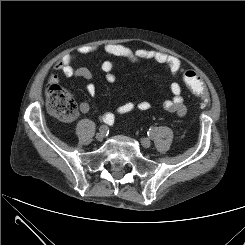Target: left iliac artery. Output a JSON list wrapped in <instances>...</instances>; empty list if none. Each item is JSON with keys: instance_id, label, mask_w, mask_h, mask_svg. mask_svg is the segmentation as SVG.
Returning a JSON list of instances; mask_svg holds the SVG:
<instances>
[{"instance_id": "44dca946", "label": "left iliac artery", "mask_w": 245, "mask_h": 245, "mask_svg": "<svg viewBox=\"0 0 245 245\" xmlns=\"http://www.w3.org/2000/svg\"><path fill=\"white\" fill-rule=\"evenodd\" d=\"M155 132H156V130L155 129H149V131H148V136H150L151 138L152 137H154V135H155Z\"/></svg>"}]
</instances>
